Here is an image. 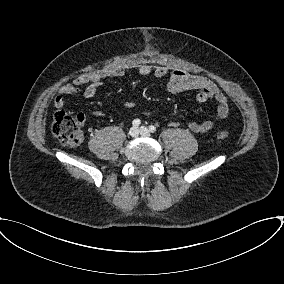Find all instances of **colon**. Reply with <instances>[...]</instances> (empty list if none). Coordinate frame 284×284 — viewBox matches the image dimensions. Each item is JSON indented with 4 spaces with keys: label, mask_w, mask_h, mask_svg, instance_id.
I'll return each instance as SVG.
<instances>
[{
    "label": "colon",
    "mask_w": 284,
    "mask_h": 284,
    "mask_svg": "<svg viewBox=\"0 0 284 284\" xmlns=\"http://www.w3.org/2000/svg\"><path fill=\"white\" fill-rule=\"evenodd\" d=\"M82 121L81 115L58 111L53 117L51 125L52 134L63 144L69 146L79 145L83 141ZM227 137V131L222 130L218 132V138L225 139Z\"/></svg>",
    "instance_id": "colon-1"
}]
</instances>
